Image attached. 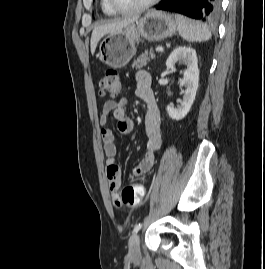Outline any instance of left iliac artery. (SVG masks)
Instances as JSON below:
<instances>
[{"label": "left iliac artery", "mask_w": 265, "mask_h": 269, "mask_svg": "<svg viewBox=\"0 0 265 269\" xmlns=\"http://www.w3.org/2000/svg\"><path fill=\"white\" fill-rule=\"evenodd\" d=\"M141 227H142V223L137 224L133 229V233H137L141 229Z\"/></svg>", "instance_id": "44dca946"}]
</instances>
